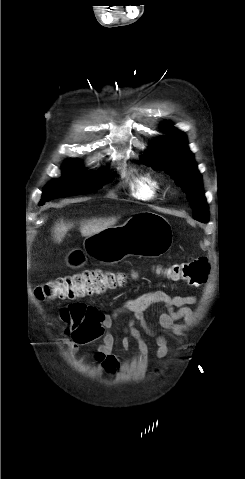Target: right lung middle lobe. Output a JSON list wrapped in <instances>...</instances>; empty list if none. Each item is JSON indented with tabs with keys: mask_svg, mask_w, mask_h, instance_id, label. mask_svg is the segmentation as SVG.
<instances>
[{
	"mask_svg": "<svg viewBox=\"0 0 245 479\" xmlns=\"http://www.w3.org/2000/svg\"><path fill=\"white\" fill-rule=\"evenodd\" d=\"M106 172L88 174L82 170L81 164L76 160L65 162L64 175L60 179H54L46 185L40 204L70 195L90 193L102 188L108 181Z\"/></svg>",
	"mask_w": 245,
	"mask_h": 479,
	"instance_id": "dd1d6c3e",
	"label": "right lung middle lobe"
}]
</instances>
